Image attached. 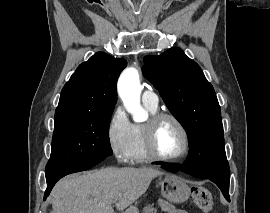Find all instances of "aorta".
<instances>
[{
    "instance_id": "obj_1",
    "label": "aorta",
    "mask_w": 270,
    "mask_h": 213,
    "mask_svg": "<svg viewBox=\"0 0 270 213\" xmlns=\"http://www.w3.org/2000/svg\"><path fill=\"white\" fill-rule=\"evenodd\" d=\"M118 93L126 108L137 122L144 121L148 113L140 104L141 86L139 73L134 67L123 71L118 81Z\"/></svg>"
}]
</instances>
